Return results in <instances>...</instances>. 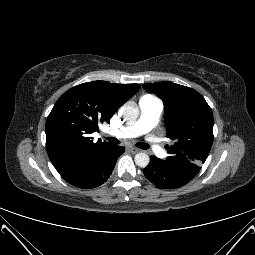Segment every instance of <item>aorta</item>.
<instances>
[{"mask_svg":"<svg viewBox=\"0 0 255 255\" xmlns=\"http://www.w3.org/2000/svg\"><path fill=\"white\" fill-rule=\"evenodd\" d=\"M121 113L125 120L135 121L139 116V109L136 105L128 103L121 108ZM134 161L137 166L145 168L150 162V157L144 152H139L135 155Z\"/></svg>","mask_w":255,"mask_h":255,"instance_id":"762f6f07","label":"aorta"}]
</instances>
